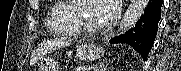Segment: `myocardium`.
I'll return each mask as SVG.
<instances>
[{"instance_id":"1","label":"myocardium","mask_w":181,"mask_h":71,"mask_svg":"<svg viewBox=\"0 0 181 71\" xmlns=\"http://www.w3.org/2000/svg\"><path fill=\"white\" fill-rule=\"evenodd\" d=\"M88 1H91V0H77L73 3L74 19L80 29V32H83L86 34H97L103 31L105 27L100 26V25L89 24L84 19V15H83L84 7L82 6V3L88 2Z\"/></svg>"}]
</instances>
